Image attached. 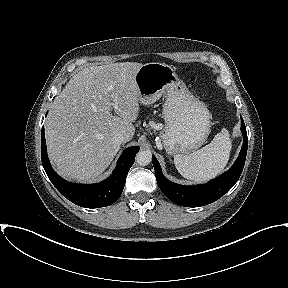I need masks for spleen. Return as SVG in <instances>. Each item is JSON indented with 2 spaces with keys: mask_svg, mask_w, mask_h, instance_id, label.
<instances>
[{
  "mask_svg": "<svg viewBox=\"0 0 288 288\" xmlns=\"http://www.w3.org/2000/svg\"><path fill=\"white\" fill-rule=\"evenodd\" d=\"M232 142L225 128L214 136L210 144L189 154L174 156L178 172L186 179L206 181L223 171L228 163Z\"/></svg>",
  "mask_w": 288,
  "mask_h": 288,
  "instance_id": "3e777b00",
  "label": "spleen"
}]
</instances>
